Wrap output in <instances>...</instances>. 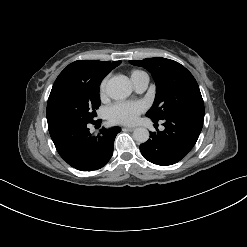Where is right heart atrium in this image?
<instances>
[{"label":"right heart atrium","mask_w":247,"mask_h":247,"mask_svg":"<svg viewBox=\"0 0 247 247\" xmlns=\"http://www.w3.org/2000/svg\"><path fill=\"white\" fill-rule=\"evenodd\" d=\"M107 81L108 78L105 77L99 85V96L101 99H105L107 96Z\"/></svg>","instance_id":"obj_1"}]
</instances>
